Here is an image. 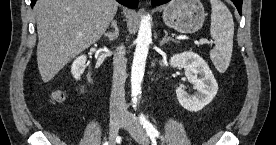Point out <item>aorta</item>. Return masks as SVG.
Returning a JSON list of instances; mask_svg holds the SVG:
<instances>
[{
    "label": "aorta",
    "instance_id": "762f6f07",
    "mask_svg": "<svg viewBox=\"0 0 276 145\" xmlns=\"http://www.w3.org/2000/svg\"><path fill=\"white\" fill-rule=\"evenodd\" d=\"M151 41L152 32L150 17L144 16L140 22L131 69V93L133 103H137V97L141 94V84L144 77L146 59Z\"/></svg>",
    "mask_w": 276,
    "mask_h": 145
}]
</instances>
